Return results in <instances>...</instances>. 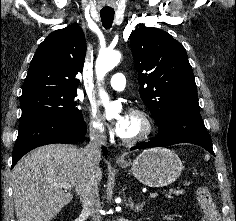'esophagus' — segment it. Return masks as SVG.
Returning <instances> with one entry per match:
<instances>
[{
	"label": "esophagus",
	"mask_w": 236,
	"mask_h": 221,
	"mask_svg": "<svg viewBox=\"0 0 236 221\" xmlns=\"http://www.w3.org/2000/svg\"><path fill=\"white\" fill-rule=\"evenodd\" d=\"M116 162H122L123 161V159H122V157H116Z\"/></svg>",
	"instance_id": "34e87169"
}]
</instances>
